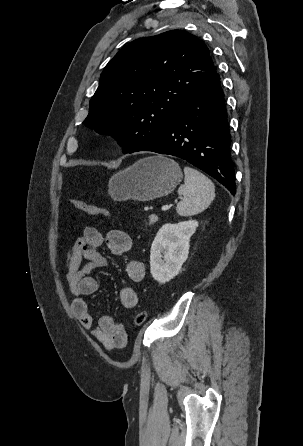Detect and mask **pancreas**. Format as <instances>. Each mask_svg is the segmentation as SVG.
Listing matches in <instances>:
<instances>
[{"mask_svg": "<svg viewBox=\"0 0 303 446\" xmlns=\"http://www.w3.org/2000/svg\"><path fill=\"white\" fill-rule=\"evenodd\" d=\"M157 220H158L157 217L150 216V218H149V224H150V225H151V224H154Z\"/></svg>", "mask_w": 303, "mask_h": 446, "instance_id": "cf45deb5", "label": "pancreas"}]
</instances>
